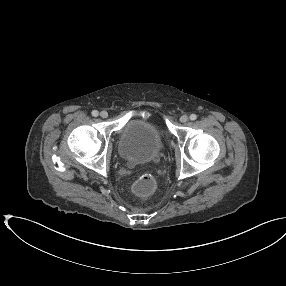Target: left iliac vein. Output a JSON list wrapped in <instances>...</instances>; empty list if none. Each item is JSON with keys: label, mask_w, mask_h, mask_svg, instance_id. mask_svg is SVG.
Instances as JSON below:
<instances>
[{"label": "left iliac vein", "mask_w": 286, "mask_h": 286, "mask_svg": "<svg viewBox=\"0 0 286 286\" xmlns=\"http://www.w3.org/2000/svg\"><path fill=\"white\" fill-rule=\"evenodd\" d=\"M187 121H188V116H187V115H182V116L180 117V122L186 123Z\"/></svg>", "instance_id": "obj_1"}]
</instances>
